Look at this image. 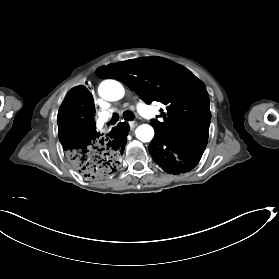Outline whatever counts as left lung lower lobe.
<instances>
[{"label":"left lung lower lobe","mask_w":279,"mask_h":279,"mask_svg":"<svg viewBox=\"0 0 279 279\" xmlns=\"http://www.w3.org/2000/svg\"><path fill=\"white\" fill-rule=\"evenodd\" d=\"M155 132L149 152L164 171L171 174L185 173L198 164L207 140L178 138L163 131Z\"/></svg>","instance_id":"0a47b994"}]
</instances>
